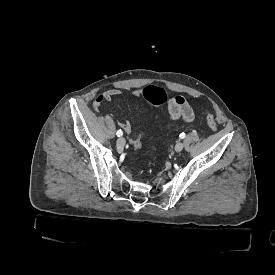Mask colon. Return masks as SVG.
<instances>
[{
  "instance_id": "obj_1",
  "label": "colon",
  "mask_w": 275,
  "mask_h": 275,
  "mask_svg": "<svg viewBox=\"0 0 275 275\" xmlns=\"http://www.w3.org/2000/svg\"><path fill=\"white\" fill-rule=\"evenodd\" d=\"M142 97L148 99V101L153 102L155 104H160L162 101L166 99V94L160 88L155 85L149 84L145 87L144 90L141 92ZM205 121L207 126L212 130L215 131L217 129V122L214 116L211 113L205 114ZM133 143L132 146L134 150L140 149V137H132Z\"/></svg>"
}]
</instances>
